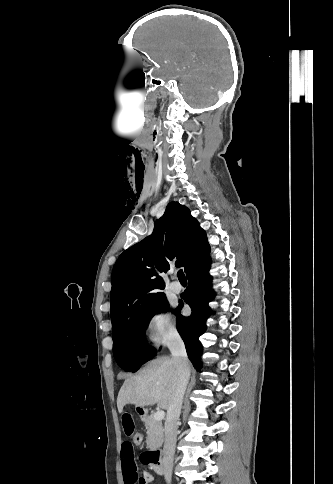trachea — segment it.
I'll return each instance as SVG.
<instances>
[{
  "instance_id": "1",
  "label": "trachea",
  "mask_w": 333,
  "mask_h": 484,
  "mask_svg": "<svg viewBox=\"0 0 333 484\" xmlns=\"http://www.w3.org/2000/svg\"><path fill=\"white\" fill-rule=\"evenodd\" d=\"M177 276H178L179 280H186V277H185L182 269H180L178 271Z\"/></svg>"
}]
</instances>
